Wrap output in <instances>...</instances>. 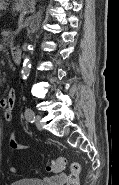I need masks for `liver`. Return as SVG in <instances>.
I'll return each mask as SVG.
<instances>
[{
  "instance_id": "1",
  "label": "liver",
  "mask_w": 119,
  "mask_h": 185,
  "mask_svg": "<svg viewBox=\"0 0 119 185\" xmlns=\"http://www.w3.org/2000/svg\"><path fill=\"white\" fill-rule=\"evenodd\" d=\"M3 8V6L2 5H0V9H2Z\"/></svg>"
}]
</instances>
